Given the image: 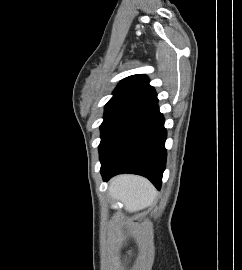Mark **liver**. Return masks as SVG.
I'll list each match as a JSON object with an SVG mask.
<instances>
[{
    "mask_svg": "<svg viewBox=\"0 0 242 270\" xmlns=\"http://www.w3.org/2000/svg\"><path fill=\"white\" fill-rule=\"evenodd\" d=\"M110 195L124 203L125 209L135 212L146 208L156 199V190L145 178L136 175H119L110 181Z\"/></svg>",
    "mask_w": 242,
    "mask_h": 270,
    "instance_id": "obj_1",
    "label": "liver"
}]
</instances>
